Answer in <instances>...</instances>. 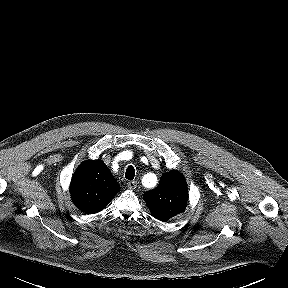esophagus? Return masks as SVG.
Instances as JSON below:
<instances>
[{
    "instance_id": "1",
    "label": "esophagus",
    "mask_w": 288,
    "mask_h": 288,
    "mask_svg": "<svg viewBox=\"0 0 288 288\" xmlns=\"http://www.w3.org/2000/svg\"><path fill=\"white\" fill-rule=\"evenodd\" d=\"M127 187H128L129 189H136V188H137V181H129V182L127 183Z\"/></svg>"
}]
</instances>
